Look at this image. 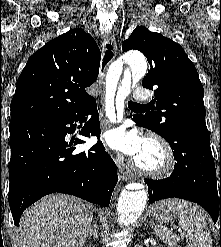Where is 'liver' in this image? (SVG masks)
<instances>
[{"instance_id":"1","label":"liver","mask_w":221,"mask_h":247,"mask_svg":"<svg viewBox=\"0 0 221 247\" xmlns=\"http://www.w3.org/2000/svg\"><path fill=\"white\" fill-rule=\"evenodd\" d=\"M94 210L92 204L74 196L52 194L41 198L21 217L22 247H84Z\"/></svg>"}]
</instances>
